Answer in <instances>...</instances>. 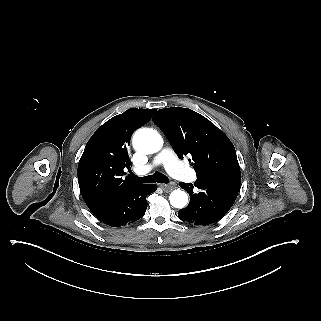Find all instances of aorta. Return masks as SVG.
Returning <instances> with one entry per match:
<instances>
[{
  "mask_svg": "<svg viewBox=\"0 0 321 321\" xmlns=\"http://www.w3.org/2000/svg\"><path fill=\"white\" fill-rule=\"evenodd\" d=\"M134 148L143 154L158 152L163 146V139L154 129L143 128L135 132L133 136ZM170 203L175 208H184L188 202L187 193L177 189L170 193Z\"/></svg>",
  "mask_w": 321,
  "mask_h": 321,
  "instance_id": "1",
  "label": "aorta"
}]
</instances>
